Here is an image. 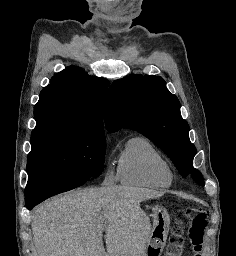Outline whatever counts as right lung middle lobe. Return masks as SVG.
Instances as JSON below:
<instances>
[{
	"instance_id": "right-lung-middle-lobe-1",
	"label": "right lung middle lobe",
	"mask_w": 236,
	"mask_h": 256,
	"mask_svg": "<svg viewBox=\"0 0 236 256\" xmlns=\"http://www.w3.org/2000/svg\"><path fill=\"white\" fill-rule=\"evenodd\" d=\"M105 151L104 133L70 125L36 126L31 135L25 199L99 176Z\"/></svg>"
}]
</instances>
